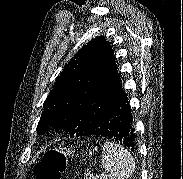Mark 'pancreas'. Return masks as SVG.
I'll return each instance as SVG.
<instances>
[{"label": "pancreas", "mask_w": 183, "mask_h": 179, "mask_svg": "<svg viewBox=\"0 0 183 179\" xmlns=\"http://www.w3.org/2000/svg\"><path fill=\"white\" fill-rule=\"evenodd\" d=\"M84 179H107V177L102 175L93 176L91 174H86Z\"/></svg>", "instance_id": "1"}]
</instances>
